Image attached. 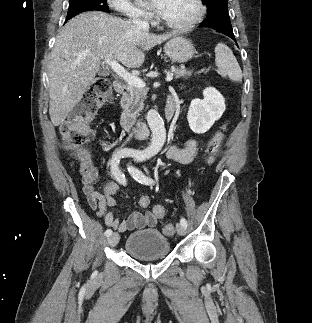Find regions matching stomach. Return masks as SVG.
<instances>
[{
  "label": "stomach",
  "mask_w": 312,
  "mask_h": 323,
  "mask_svg": "<svg viewBox=\"0 0 312 323\" xmlns=\"http://www.w3.org/2000/svg\"><path fill=\"white\" fill-rule=\"evenodd\" d=\"M164 52L172 62L183 64V62H188V60L193 58L195 50L191 40L175 36V38H172V40L165 44Z\"/></svg>",
  "instance_id": "obj_1"
}]
</instances>
